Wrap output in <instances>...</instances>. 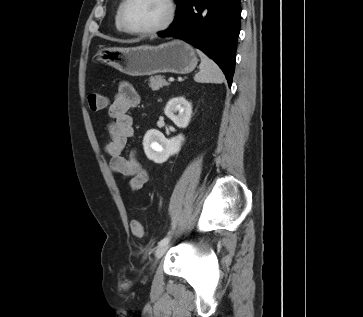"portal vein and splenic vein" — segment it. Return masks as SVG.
<instances>
[{"label": "portal vein and splenic vein", "mask_w": 363, "mask_h": 317, "mask_svg": "<svg viewBox=\"0 0 363 317\" xmlns=\"http://www.w3.org/2000/svg\"><path fill=\"white\" fill-rule=\"evenodd\" d=\"M168 81H169V82H173V81H174V78H173V77H170V78L168 79Z\"/></svg>", "instance_id": "1"}]
</instances>
